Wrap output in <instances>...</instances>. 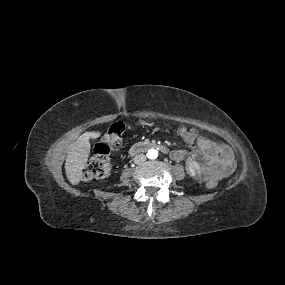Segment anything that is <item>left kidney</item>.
Returning <instances> with one entry per match:
<instances>
[{
	"label": "left kidney",
	"mask_w": 285,
	"mask_h": 285,
	"mask_svg": "<svg viewBox=\"0 0 285 285\" xmlns=\"http://www.w3.org/2000/svg\"><path fill=\"white\" fill-rule=\"evenodd\" d=\"M188 170L191 173V175H195L196 174V168H195V165L193 163H189Z\"/></svg>",
	"instance_id": "5707ae66"
}]
</instances>
